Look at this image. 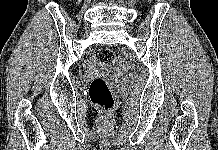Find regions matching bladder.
Returning a JSON list of instances; mask_svg holds the SVG:
<instances>
[{"label":"bladder","instance_id":"1","mask_svg":"<svg viewBox=\"0 0 218 150\" xmlns=\"http://www.w3.org/2000/svg\"><path fill=\"white\" fill-rule=\"evenodd\" d=\"M101 68L104 70H109V67L107 65H103Z\"/></svg>","mask_w":218,"mask_h":150}]
</instances>
